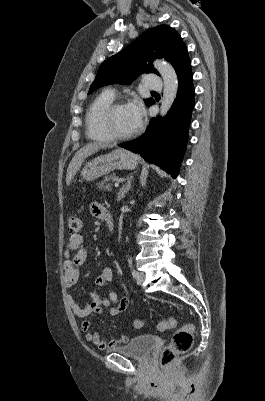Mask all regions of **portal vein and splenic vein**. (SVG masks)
<instances>
[{"label":"portal vein and splenic vein","mask_w":265,"mask_h":401,"mask_svg":"<svg viewBox=\"0 0 265 401\" xmlns=\"http://www.w3.org/2000/svg\"><path fill=\"white\" fill-rule=\"evenodd\" d=\"M118 184H119V180H116L115 185H114V188H115V189H118V188H119V185H118Z\"/></svg>","instance_id":"1"}]
</instances>
